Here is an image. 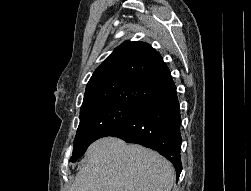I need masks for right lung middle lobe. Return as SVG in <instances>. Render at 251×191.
<instances>
[{
  "mask_svg": "<svg viewBox=\"0 0 251 191\" xmlns=\"http://www.w3.org/2000/svg\"><path fill=\"white\" fill-rule=\"evenodd\" d=\"M140 108L138 105L111 102L82 110L70 161H76L91 143L104 137L107 132L122 124Z\"/></svg>",
  "mask_w": 251,
  "mask_h": 191,
  "instance_id": "right-lung-middle-lobe-1",
  "label": "right lung middle lobe"
}]
</instances>
